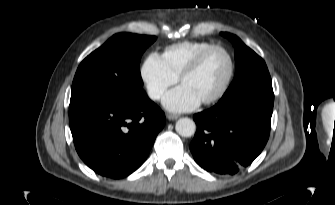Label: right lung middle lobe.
Returning a JSON list of instances; mask_svg holds the SVG:
<instances>
[{
    "label": "right lung middle lobe",
    "instance_id": "right-lung-middle-lobe-1",
    "mask_svg": "<svg viewBox=\"0 0 335 205\" xmlns=\"http://www.w3.org/2000/svg\"><path fill=\"white\" fill-rule=\"evenodd\" d=\"M155 36L118 33L79 65L70 103L88 98L129 99L144 93L140 58Z\"/></svg>",
    "mask_w": 335,
    "mask_h": 205
}]
</instances>
